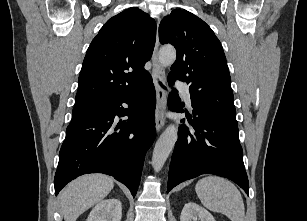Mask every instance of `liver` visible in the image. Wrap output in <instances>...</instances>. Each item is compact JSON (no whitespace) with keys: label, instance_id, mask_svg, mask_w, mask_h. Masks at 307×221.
Listing matches in <instances>:
<instances>
[{"label":"liver","instance_id":"liver-1","mask_svg":"<svg viewBox=\"0 0 307 221\" xmlns=\"http://www.w3.org/2000/svg\"><path fill=\"white\" fill-rule=\"evenodd\" d=\"M114 181L103 174H88L70 182L60 194V210L65 221H76L86 210L103 200Z\"/></svg>","mask_w":307,"mask_h":221}]
</instances>
